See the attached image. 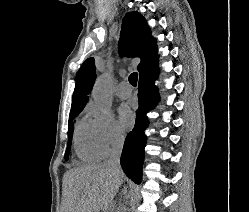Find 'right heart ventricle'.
<instances>
[{"label":"right heart ventricle","mask_w":249,"mask_h":212,"mask_svg":"<svg viewBox=\"0 0 249 212\" xmlns=\"http://www.w3.org/2000/svg\"><path fill=\"white\" fill-rule=\"evenodd\" d=\"M73 147L77 157L83 161H97L98 153L93 141V126L82 119L77 122L73 134Z\"/></svg>","instance_id":"obj_1"}]
</instances>
